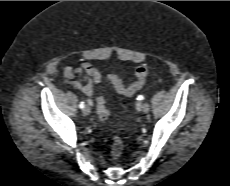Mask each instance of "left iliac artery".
I'll return each instance as SVG.
<instances>
[{"label": "left iliac artery", "mask_w": 230, "mask_h": 186, "mask_svg": "<svg viewBox=\"0 0 230 186\" xmlns=\"http://www.w3.org/2000/svg\"><path fill=\"white\" fill-rule=\"evenodd\" d=\"M144 99V97L142 96V95H139L138 97H137V100H139V101H141V100H143Z\"/></svg>", "instance_id": "left-iliac-artery-1"}]
</instances>
